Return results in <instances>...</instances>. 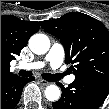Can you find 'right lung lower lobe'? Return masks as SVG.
Instances as JSON below:
<instances>
[{
    "mask_svg": "<svg viewBox=\"0 0 109 109\" xmlns=\"http://www.w3.org/2000/svg\"><path fill=\"white\" fill-rule=\"evenodd\" d=\"M18 77L16 74L1 79V109H13L19 102L24 85L34 80Z\"/></svg>",
    "mask_w": 109,
    "mask_h": 109,
    "instance_id": "obj_1",
    "label": "right lung lower lobe"
}]
</instances>
